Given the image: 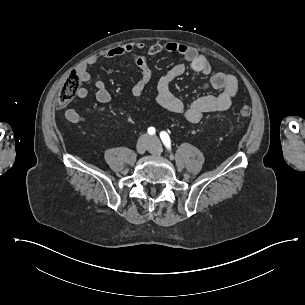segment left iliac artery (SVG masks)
Returning <instances> with one entry per match:
<instances>
[{"mask_svg": "<svg viewBox=\"0 0 305 305\" xmlns=\"http://www.w3.org/2000/svg\"><path fill=\"white\" fill-rule=\"evenodd\" d=\"M160 138H161L162 142L164 143V145H165L167 148H170V147H171L170 137H169V135H168L166 132L162 131V132L160 133Z\"/></svg>", "mask_w": 305, "mask_h": 305, "instance_id": "44dca946", "label": "left iliac artery"}]
</instances>
